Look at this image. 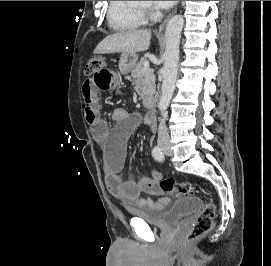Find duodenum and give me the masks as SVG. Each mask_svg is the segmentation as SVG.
<instances>
[{"label":"duodenum","mask_w":271,"mask_h":266,"mask_svg":"<svg viewBox=\"0 0 271 266\" xmlns=\"http://www.w3.org/2000/svg\"><path fill=\"white\" fill-rule=\"evenodd\" d=\"M145 104L149 106L150 108H153L156 104V100L154 97H146L145 98Z\"/></svg>","instance_id":"duodenum-1"}]
</instances>
